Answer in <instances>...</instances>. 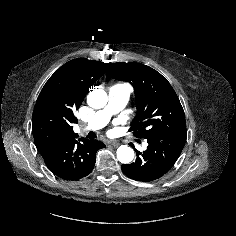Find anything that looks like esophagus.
I'll list each match as a JSON object with an SVG mask.
<instances>
[{
  "mask_svg": "<svg viewBox=\"0 0 236 236\" xmlns=\"http://www.w3.org/2000/svg\"><path fill=\"white\" fill-rule=\"evenodd\" d=\"M108 144L112 147H118L119 146V143L116 142V141H110V142H108Z\"/></svg>",
  "mask_w": 236,
  "mask_h": 236,
  "instance_id": "34e87169",
  "label": "esophagus"
}]
</instances>
